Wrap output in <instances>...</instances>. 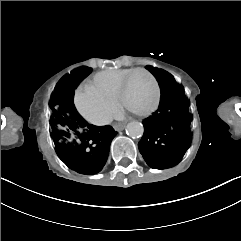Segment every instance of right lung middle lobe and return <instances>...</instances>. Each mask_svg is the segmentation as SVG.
<instances>
[{
    "label": "right lung middle lobe",
    "mask_w": 241,
    "mask_h": 241,
    "mask_svg": "<svg viewBox=\"0 0 241 241\" xmlns=\"http://www.w3.org/2000/svg\"><path fill=\"white\" fill-rule=\"evenodd\" d=\"M65 79H61L57 84L49 103L51 136L53 141L58 142H72L74 139V132L70 127L69 117L65 109V101L73 99V93L67 90L68 86Z\"/></svg>",
    "instance_id": "obj_1"
}]
</instances>
